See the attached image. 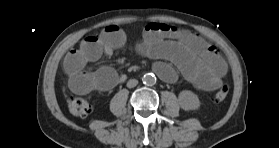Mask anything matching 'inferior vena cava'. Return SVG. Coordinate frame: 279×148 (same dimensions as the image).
Segmentation results:
<instances>
[{"instance_id":"inferior-vena-cava-1","label":"inferior vena cava","mask_w":279,"mask_h":148,"mask_svg":"<svg viewBox=\"0 0 279 148\" xmlns=\"http://www.w3.org/2000/svg\"><path fill=\"white\" fill-rule=\"evenodd\" d=\"M137 84H138V80H136V79H130V80L127 82V87H128V88H133V87H135Z\"/></svg>"}]
</instances>
